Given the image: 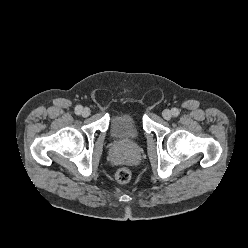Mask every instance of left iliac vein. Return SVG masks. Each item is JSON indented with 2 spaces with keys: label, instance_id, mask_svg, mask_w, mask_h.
Returning a JSON list of instances; mask_svg holds the SVG:
<instances>
[{
  "label": "left iliac vein",
  "instance_id": "obj_1",
  "mask_svg": "<svg viewBox=\"0 0 248 248\" xmlns=\"http://www.w3.org/2000/svg\"><path fill=\"white\" fill-rule=\"evenodd\" d=\"M162 116L165 120H170L171 117H172V112L168 109H165L163 112H162Z\"/></svg>",
  "mask_w": 248,
  "mask_h": 248
}]
</instances>
